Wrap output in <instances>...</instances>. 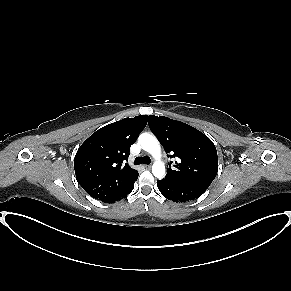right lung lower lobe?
Returning a JSON list of instances; mask_svg holds the SVG:
<instances>
[{
    "label": "right lung lower lobe",
    "mask_w": 291,
    "mask_h": 291,
    "mask_svg": "<svg viewBox=\"0 0 291 291\" xmlns=\"http://www.w3.org/2000/svg\"><path fill=\"white\" fill-rule=\"evenodd\" d=\"M136 180H134L123 192H121L120 194L114 196L113 198L108 199V200L103 201V202L111 203V202H115V201H119V200L123 199L124 197L127 196V194H129L133 190V188H134V182Z\"/></svg>",
    "instance_id": "1"
}]
</instances>
